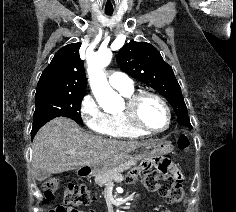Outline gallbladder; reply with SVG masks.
<instances>
[{"label": "gallbladder", "mask_w": 236, "mask_h": 212, "mask_svg": "<svg viewBox=\"0 0 236 212\" xmlns=\"http://www.w3.org/2000/svg\"><path fill=\"white\" fill-rule=\"evenodd\" d=\"M50 175L51 174L49 172H47L45 170H40V171H38L36 178H37V180L42 181V180H45L48 177H50Z\"/></svg>", "instance_id": "1"}]
</instances>
